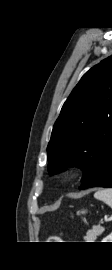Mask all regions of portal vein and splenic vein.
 <instances>
[{"label":"portal vein and splenic vein","mask_w":112,"mask_h":270,"mask_svg":"<svg viewBox=\"0 0 112 270\" xmlns=\"http://www.w3.org/2000/svg\"><path fill=\"white\" fill-rule=\"evenodd\" d=\"M104 220H105V222L111 221L112 220V216L110 218L105 217Z\"/></svg>","instance_id":"1"}]
</instances>
